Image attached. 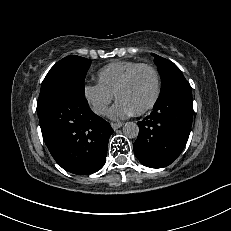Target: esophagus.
<instances>
[{
	"mask_svg": "<svg viewBox=\"0 0 231 231\" xmlns=\"http://www.w3.org/2000/svg\"><path fill=\"white\" fill-rule=\"evenodd\" d=\"M122 123H111V126L114 130L119 129L120 127H122Z\"/></svg>",
	"mask_w": 231,
	"mask_h": 231,
	"instance_id": "34e87169",
	"label": "esophagus"
}]
</instances>
